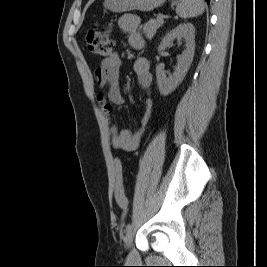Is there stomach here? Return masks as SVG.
<instances>
[{
	"instance_id": "obj_1",
	"label": "stomach",
	"mask_w": 267,
	"mask_h": 267,
	"mask_svg": "<svg viewBox=\"0 0 267 267\" xmlns=\"http://www.w3.org/2000/svg\"><path fill=\"white\" fill-rule=\"evenodd\" d=\"M165 2L166 0H105L104 7L115 13L132 10L148 12L162 6Z\"/></svg>"
}]
</instances>
